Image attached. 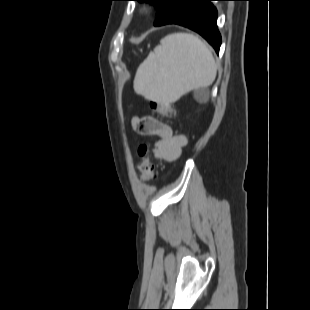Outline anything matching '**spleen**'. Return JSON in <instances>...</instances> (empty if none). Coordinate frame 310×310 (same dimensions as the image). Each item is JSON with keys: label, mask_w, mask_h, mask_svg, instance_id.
Instances as JSON below:
<instances>
[{"label": "spleen", "mask_w": 310, "mask_h": 310, "mask_svg": "<svg viewBox=\"0 0 310 310\" xmlns=\"http://www.w3.org/2000/svg\"><path fill=\"white\" fill-rule=\"evenodd\" d=\"M216 71L205 43L190 33H174L139 66L134 90L146 99L173 103L191 90L210 86Z\"/></svg>", "instance_id": "1"}]
</instances>
